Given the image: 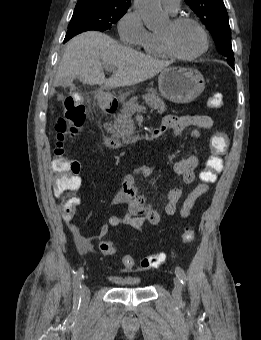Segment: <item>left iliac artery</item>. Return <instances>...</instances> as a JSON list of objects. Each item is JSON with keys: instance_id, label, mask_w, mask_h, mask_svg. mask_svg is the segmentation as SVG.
<instances>
[{"instance_id": "44dca946", "label": "left iliac artery", "mask_w": 261, "mask_h": 340, "mask_svg": "<svg viewBox=\"0 0 261 340\" xmlns=\"http://www.w3.org/2000/svg\"><path fill=\"white\" fill-rule=\"evenodd\" d=\"M175 273H176V276L179 278L181 284L185 286L187 282V276H186L185 271L181 267L177 266L175 268Z\"/></svg>"}]
</instances>
